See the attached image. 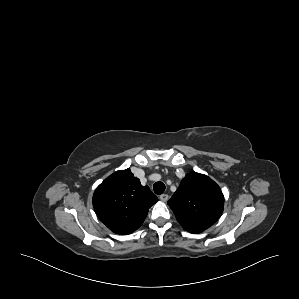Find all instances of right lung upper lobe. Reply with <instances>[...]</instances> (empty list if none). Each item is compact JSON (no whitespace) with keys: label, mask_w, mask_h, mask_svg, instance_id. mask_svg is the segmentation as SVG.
<instances>
[{"label":"right lung upper lobe","mask_w":299,"mask_h":299,"mask_svg":"<svg viewBox=\"0 0 299 299\" xmlns=\"http://www.w3.org/2000/svg\"><path fill=\"white\" fill-rule=\"evenodd\" d=\"M158 201L130 169L116 171L95 190L93 207L99 219L114 233L130 234L143 223L149 208Z\"/></svg>","instance_id":"obj_1"}]
</instances>
